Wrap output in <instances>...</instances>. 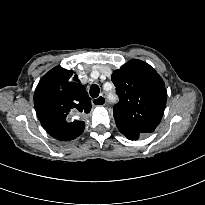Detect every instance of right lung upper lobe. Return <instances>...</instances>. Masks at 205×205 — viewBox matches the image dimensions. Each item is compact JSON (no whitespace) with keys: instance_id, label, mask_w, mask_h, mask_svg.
I'll return each instance as SVG.
<instances>
[{"instance_id":"obj_1","label":"right lung upper lobe","mask_w":205,"mask_h":205,"mask_svg":"<svg viewBox=\"0 0 205 205\" xmlns=\"http://www.w3.org/2000/svg\"><path fill=\"white\" fill-rule=\"evenodd\" d=\"M34 106L43 128L55 130L54 138L69 141L82 134L85 123L77 118L90 112L91 101L73 71L55 67L39 81Z\"/></svg>"}]
</instances>
